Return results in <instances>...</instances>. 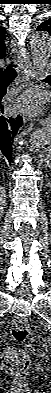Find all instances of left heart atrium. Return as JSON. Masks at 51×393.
<instances>
[{
  "label": "left heart atrium",
  "instance_id": "1",
  "mask_svg": "<svg viewBox=\"0 0 51 393\" xmlns=\"http://www.w3.org/2000/svg\"><path fill=\"white\" fill-rule=\"evenodd\" d=\"M43 101L39 93L28 91L18 100L17 106L20 110L29 113L39 112L42 108Z\"/></svg>",
  "mask_w": 51,
  "mask_h": 393
}]
</instances>
